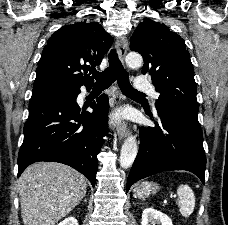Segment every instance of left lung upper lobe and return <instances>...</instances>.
<instances>
[{
    "label": "left lung upper lobe",
    "instance_id": "obj_1",
    "mask_svg": "<svg viewBox=\"0 0 228 225\" xmlns=\"http://www.w3.org/2000/svg\"><path fill=\"white\" fill-rule=\"evenodd\" d=\"M130 49L142 55V74L151 75L160 93L156 105L177 104L198 110L193 65L178 34L164 24L144 20L131 36Z\"/></svg>",
    "mask_w": 228,
    "mask_h": 225
}]
</instances>
